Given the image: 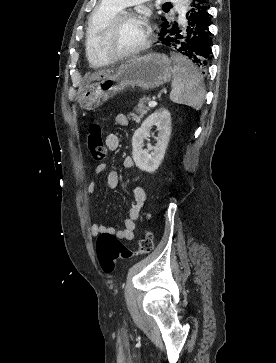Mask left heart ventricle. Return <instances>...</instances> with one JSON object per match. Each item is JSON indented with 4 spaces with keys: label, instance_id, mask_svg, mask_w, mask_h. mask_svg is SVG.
Wrapping results in <instances>:
<instances>
[{
    "label": "left heart ventricle",
    "instance_id": "left-heart-ventricle-1",
    "mask_svg": "<svg viewBox=\"0 0 276 363\" xmlns=\"http://www.w3.org/2000/svg\"><path fill=\"white\" fill-rule=\"evenodd\" d=\"M146 28L139 19L123 21L108 38L109 48L115 53H122L137 47L144 39Z\"/></svg>",
    "mask_w": 276,
    "mask_h": 363
}]
</instances>
